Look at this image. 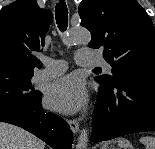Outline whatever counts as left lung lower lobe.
<instances>
[{
    "mask_svg": "<svg viewBox=\"0 0 155 149\" xmlns=\"http://www.w3.org/2000/svg\"><path fill=\"white\" fill-rule=\"evenodd\" d=\"M99 83L92 121L94 143L155 131V70L133 71L112 85Z\"/></svg>",
    "mask_w": 155,
    "mask_h": 149,
    "instance_id": "left-lung-lower-lobe-1",
    "label": "left lung lower lobe"
}]
</instances>
